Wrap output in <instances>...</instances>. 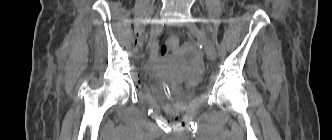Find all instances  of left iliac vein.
Segmentation results:
<instances>
[{
  "mask_svg": "<svg viewBox=\"0 0 332 140\" xmlns=\"http://www.w3.org/2000/svg\"><path fill=\"white\" fill-rule=\"evenodd\" d=\"M189 30L197 37L198 41L202 44L204 47V50L206 52V55L210 61H215L216 54L211 49L210 44L208 42L206 34L201 31L195 23H189L188 24Z\"/></svg>",
  "mask_w": 332,
  "mask_h": 140,
  "instance_id": "left-iliac-vein-1",
  "label": "left iliac vein"
}]
</instances>
